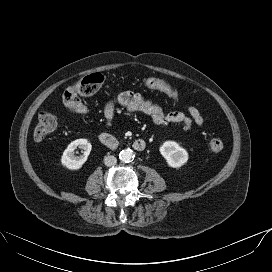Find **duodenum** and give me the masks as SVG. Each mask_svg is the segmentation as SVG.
Wrapping results in <instances>:
<instances>
[{
  "label": "duodenum",
  "instance_id": "1",
  "mask_svg": "<svg viewBox=\"0 0 272 272\" xmlns=\"http://www.w3.org/2000/svg\"><path fill=\"white\" fill-rule=\"evenodd\" d=\"M99 141L110 149H116L119 146L118 140L107 132H102L98 135ZM133 148L136 151H143L146 148V141L144 139H136L133 142Z\"/></svg>",
  "mask_w": 272,
  "mask_h": 272
}]
</instances>
